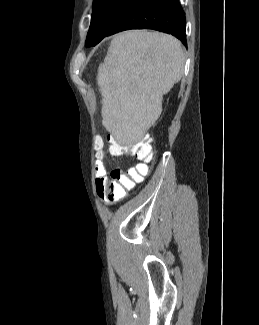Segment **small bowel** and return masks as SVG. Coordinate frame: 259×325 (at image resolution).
<instances>
[{"label": "small bowel", "instance_id": "small-bowel-1", "mask_svg": "<svg viewBox=\"0 0 259 325\" xmlns=\"http://www.w3.org/2000/svg\"><path fill=\"white\" fill-rule=\"evenodd\" d=\"M97 160L95 163V176H96V184L97 189H99L100 183L107 177L106 175V169L103 163V152L99 153L97 152ZM139 165V164H138ZM136 165V166H138Z\"/></svg>", "mask_w": 259, "mask_h": 325}]
</instances>
